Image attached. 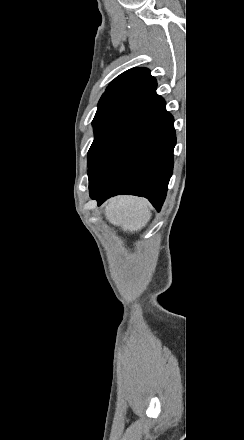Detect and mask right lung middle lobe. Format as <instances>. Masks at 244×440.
<instances>
[{"instance_id":"obj_1","label":"right lung middle lobe","mask_w":244,"mask_h":440,"mask_svg":"<svg viewBox=\"0 0 244 440\" xmlns=\"http://www.w3.org/2000/svg\"><path fill=\"white\" fill-rule=\"evenodd\" d=\"M140 99L122 97L100 101L93 120L95 138L88 152V166L90 167L96 153L115 125L130 111Z\"/></svg>"}]
</instances>
